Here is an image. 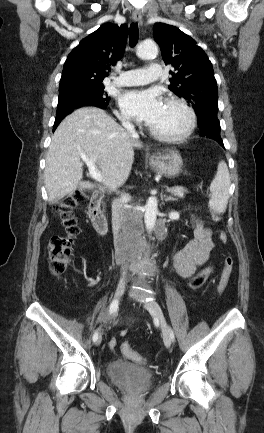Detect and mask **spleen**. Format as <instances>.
Returning <instances> with one entry per match:
<instances>
[{"mask_svg":"<svg viewBox=\"0 0 264 433\" xmlns=\"http://www.w3.org/2000/svg\"><path fill=\"white\" fill-rule=\"evenodd\" d=\"M230 174L224 161H220L215 178L211 182L209 207L217 213H224L229 199Z\"/></svg>","mask_w":264,"mask_h":433,"instance_id":"obj_1","label":"spleen"}]
</instances>
